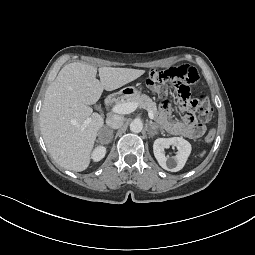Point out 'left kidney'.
Here are the masks:
<instances>
[{
  "mask_svg": "<svg viewBox=\"0 0 255 255\" xmlns=\"http://www.w3.org/2000/svg\"><path fill=\"white\" fill-rule=\"evenodd\" d=\"M171 145L176 146L178 151L175 156L168 158L165 156L164 149ZM153 152L162 168L177 172L184 167L191 153V144L182 137L158 138L154 141Z\"/></svg>",
  "mask_w": 255,
  "mask_h": 255,
  "instance_id": "left-kidney-1",
  "label": "left kidney"
}]
</instances>
